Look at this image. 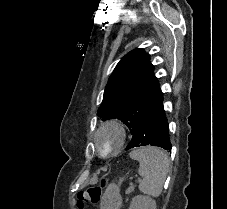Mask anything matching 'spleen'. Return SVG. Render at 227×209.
Returning <instances> with one entry per match:
<instances>
[{
	"label": "spleen",
	"instance_id": "1",
	"mask_svg": "<svg viewBox=\"0 0 227 209\" xmlns=\"http://www.w3.org/2000/svg\"><path fill=\"white\" fill-rule=\"evenodd\" d=\"M130 159L139 161V191L149 197H159L168 173L169 159L157 147H139L129 153Z\"/></svg>",
	"mask_w": 227,
	"mask_h": 209
}]
</instances>
